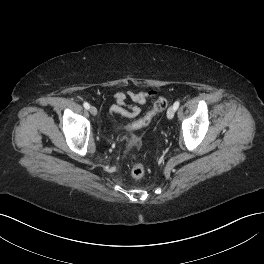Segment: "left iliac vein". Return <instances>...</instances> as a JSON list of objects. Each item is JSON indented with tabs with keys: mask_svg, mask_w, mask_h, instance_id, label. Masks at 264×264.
I'll return each instance as SVG.
<instances>
[{
	"mask_svg": "<svg viewBox=\"0 0 264 264\" xmlns=\"http://www.w3.org/2000/svg\"><path fill=\"white\" fill-rule=\"evenodd\" d=\"M175 108L174 107H169L168 108V110H167V117L169 118V119H172L173 117H174V115H175Z\"/></svg>",
	"mask_w": 264,
	"mask_h": 264,
	"instance_id": "obj_1",
	"label": "left iliac vein"
}]
</instances>
